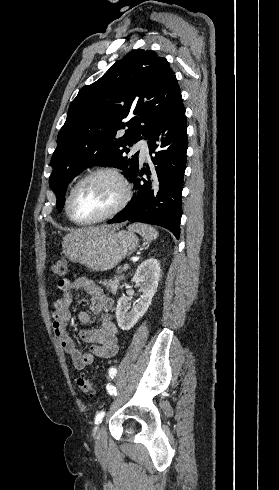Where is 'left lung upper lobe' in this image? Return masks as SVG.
<instances>
[{
  "mask_svg": "<svg viewBox=\"0 0 279 490\" xmlns=\"http://www.w3.org/2000/svg\"><path fill=\"white\" fill-rule=\"evenodd\" d=\"M180 98L167 60L143 49L127 53L99 80L82 87L69 106L51 158L49 184L58 211L64 206L68 184L88 167H117L130 178L139 165L138 153L127 157L126 146L147 138ZM126 126L125 134L117 135Z\"/></svg>",
  "mask_w": 279,
  "mask_h": 490,
  "instance_id": "1",
  "label": "left lung upper lobe"
}]
</instances>
